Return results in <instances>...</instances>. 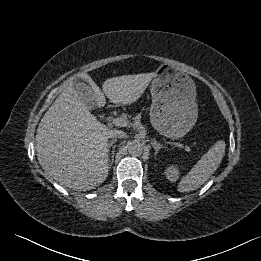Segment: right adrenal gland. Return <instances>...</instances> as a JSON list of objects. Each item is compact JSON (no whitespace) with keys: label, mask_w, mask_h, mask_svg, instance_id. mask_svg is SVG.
<instances>
[{"label":"right adrenal gland","mask_w":261,"mask_h":261,"mask_svg":"<svg viewBox=\"0 0 261 261\" xmlns=\"http://www.w3.org/2000/svg\"><path fill=\"white\" fill-rule=\"evenodd\" d=\"M115 142L116 139L111 140L110 143H108V152L110 151V147H113L112 153H111V160L109 159V166L111 167L113 164V160H114V152H115Z\"/></svg>","instance_id":"1"}]
</instances>
